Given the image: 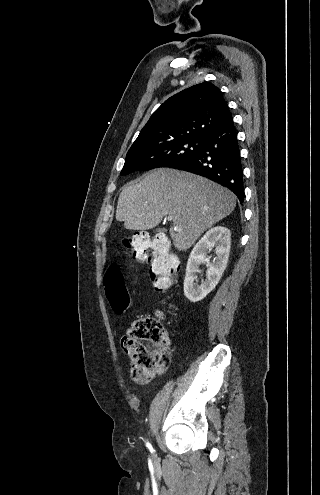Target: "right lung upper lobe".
<instances>
[{
    "label": "right lung upper lobe",
    "mask_w": 320,
    "mask_h": 495,
    "mask_svg": "<svg viewBox=\"0 0 320 495\" xmlns=\"http://www.w3.org/2000/svg\"><path fill=\"white\" fill-rule=\"evenodd\" d=\"M231 120L223 93L214 84L203 82L173 95L160 105L131 148L204 138Z\"/></svg>",
    "instance_id": "obj_1"
}]
</instances>
